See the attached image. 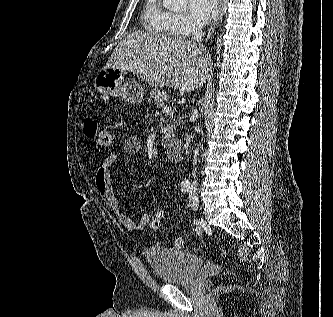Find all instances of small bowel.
Returning <instances> with one entry per match:
<instances>
[{
  "instance_id": "small-bowel-1",
  "label": "small bowel",
  "mask_w": 333,
  "mask_h": 317,
  "mask_svg": "<svg viewBox=\"0 0 333 317\" xmlns=\"http://www.w3.org/2000/svg\"><path fill=\"white\" fill-rule=\"evenodd\" d=\"M140 150V140L135 136H128L120 149L110 153L103 159L95 174V186L105 205L110 209L115 220L132 232L142 231L149 225L151 215L144 214L139 219H133L121 210L113 190L111 172L120 155L132 156L139 153Z\"/></svg>"
}]
</instances>
